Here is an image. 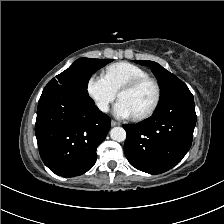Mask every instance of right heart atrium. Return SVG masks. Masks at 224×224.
<instances>
[{
	"label": "right heart atrium",
	"instance_id": "right-heart-atrium-1",
	"mask_svg": "<svg viewBox=\"0 0 224 224\" xmlns=\"http://www.w3.org/2000/svg\"><path fill=\"white\" fill-rule=\"evenodd\" d=\"M86 90L97 109L103 113L108 112L111 103L116 98V92L103 75H91L87 80Z\"/></svg>",
	"mask_w": 224,
	"mask_h": 224
}]
</instances>
